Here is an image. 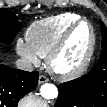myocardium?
Returning <instances> with one entry per match:
<instances>
[{
    "instance_id": "obj_1",
    "label": "myocardium",
    "mask_w": 107,
    "mask_h": 107,
    "mask_svg": "<svg viewBox=\"0 0 107 107\" xmlns=\"http://www.w3.org/2000/svg\"><path fill=\"white\" fill-rule=\"evenodd\" d=\"M82 24H86L89 27L90 35H91L90 43L84 57L82 58L80 63L71 70L68 71L57 70L55 67V60L66 48L68 41L71 38L74 31ZM95 45H96V34L93 25L87 19H82V18L78 19L64 31L59 41L46 56V65L48 70L50 71L51 74H53L55 77H57L60 80H71L78 77L88 67L91 58L94 54Z\"/></svg>"
}]
</instances>
